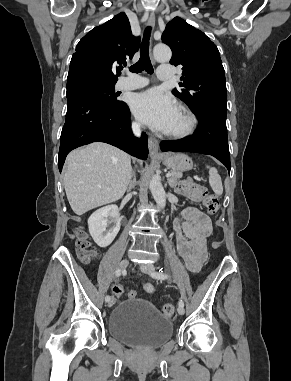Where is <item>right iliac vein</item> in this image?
<instances>
[{"label":"right iliac vein","mask_w":291,"mask_h":381,"mask_svg":"<svg viewBox=\"0 0 291 381\" xmlns=\"http://www.w3.org/2000/svg\"><path fill=\"white\" fill-rule=\"evenodd\" d=\"M128 265H129V260H127V259H124V260H122L121 262H120V264H119V268L121 269V270H125L127 267H128ZM114 298H111L109 301H108V307H112L113 306V304H114Z\"/></svg>","instance_id":"63e3f726"}]
</instances>
